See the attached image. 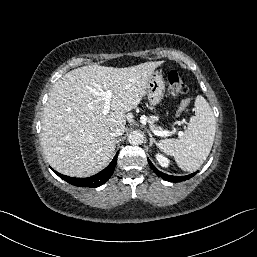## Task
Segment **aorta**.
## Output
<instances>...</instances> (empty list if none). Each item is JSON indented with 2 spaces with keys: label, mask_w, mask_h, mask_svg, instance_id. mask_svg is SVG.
<instances>
[{
  "label": "aorta",
  "mask_w": 257,
  "mask_h": 257,
  "mask_svg": "<svg viewBox=\"0 0 257 257\" xmlns=\"http://www.w3.org/2000/svg\"><path fill=\"white\" fill-rule=\"evenodd\" d=\"M143 140H144V136L140 131L135 130L128 135V142L130 144L140 145L143 143Z\"/></svg>",
  "instance_id": "1"
}]
</instances>
